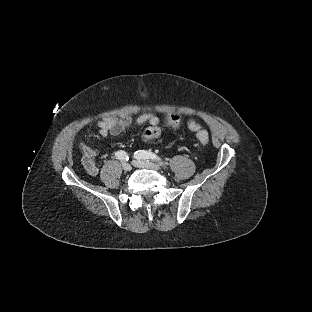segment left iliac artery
I'll return each mask as SVG.
<instances>
[{
	"label": "left iliac artery",
	"instance_id": "left-iliac-artery-1",
	"mask_svg": "<svg viewBox=\"0 0 312 312\" xmlns=\"http://www.w3.org/2000/svg\"><path fill=\"white\" fill-rule=\"evenodd\" d=\"M134 157L137 159H144V160H153V161H163L160 156H158L155 153L145 151V150H139L134 153Z\"/></svg>",
	"mask_w": 312,
	"mask_h": 312
}]
</instances>
